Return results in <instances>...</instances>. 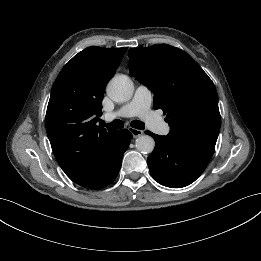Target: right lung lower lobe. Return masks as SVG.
Segmentation results:
<instances>
[{
	"instance_id": "1",
	"label": "right lung lower lobe",
	"mask_w": 261,
	"mask_h": 261,
	"mask_svg": "<svg viewBox=\"0 0 261 261\" xmlns=\"http://www.w3.org/2000/svg\"><path fill=\"white\" fill-rule=\"evenodd\" d=\"M131 138L132 134L127 129L119 130L97 167L75 183L93 190L110 184L119 173L123 154L128 149Z\"/></svg>"
}]
</instances>
